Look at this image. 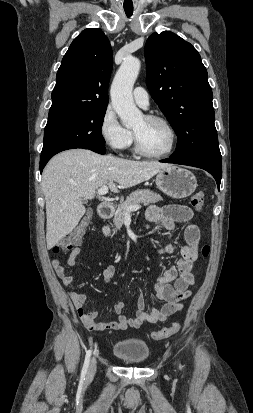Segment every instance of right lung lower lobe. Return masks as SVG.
<instances>
[{"mask_svg": "<svg viewBox=\"0 0 253 413\" xmlns=\"http://www.w3.org/2000/svg\"><path fill=\"white\" fill-rule=\"evenodd\" d=\"M75 148L89 149V150H92V151H94L96 153H99V154H102V155L105 154V152H106V148H105L104 144H97V145L66 144V145H61V146H58V147H56L52 150L41 153V156H40V171L41 172L43 171V168L45 167L47 162L55 154H57L61 151H64V150L75 149Z\"/></svg>", "mask_w": 253, "mask_h": 413, "instance_id": "right-lung-lower-lobe-1", "label": "right lung lower lobe"}]
</instances>
